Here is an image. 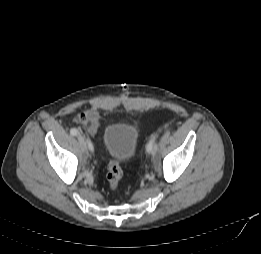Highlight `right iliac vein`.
I'll list each match as a JSON object with an SVG mask.
<instances>
[{"label":"right iliac vein","instance_id":"obj_1","mask_svg":"<svg viewBox=\"0 0 261 254\" xmlns=\"http://www.w3.org/2000/svg\"><path fill=\"white\" fill-rule=\"evenodd\" d=\"M78 140L80 142V147L83 151H86L87 150V144L85 142V140L83 139L82 136H78Z\"/></svg>","mask_w":261,"mask_h":254}]
</instances>
